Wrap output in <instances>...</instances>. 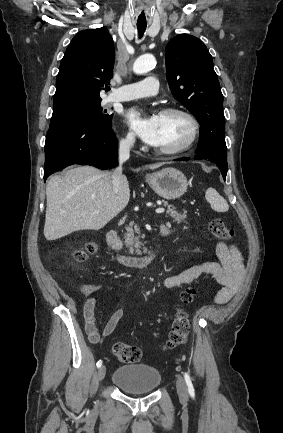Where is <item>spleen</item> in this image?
Masks as SVG:
<instances>
[{
    "instance_id": "1",
    "label": "spleen",
    "mask_w": 283,
    "mask_h": 433,
    "mask_svg": "<svg viewBox=\"0 0 283 433\" xmlns=\"http://www.w3.org/2000/svg\"><path fill=\"white\" fill-rule=\"evenodd\" d=\"M205 196L207 202H210L211 208L216 210V212H226V210H228L229 206L225 198H223L215 188H207Z\"/></svg>"
}]
</instances>
